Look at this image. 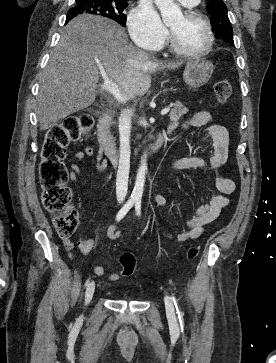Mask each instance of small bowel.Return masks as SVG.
Masks as SVG:
<instances>
[{"instance_id":"c3829d8e","label":"small bowel","mask_w":276,"mask_h":363,"mask_svg":"<svg viewBox=\"0 0 276 363\" xmlns=\"http://www.w3.org/2000/svg\"><path fill=\"white\" fill-rule=\"evenodd\" d=\"M178 123H172L168 128V131H172L177 128ZM188 126L201 127L206 126L211 139V148L209 155V163L199 157L184 158L175 162L172 165V170H186V169H201L206 170L207 168L212 170H219L222 168L228 160L229 150V134L227 129L217 123L213 122L212 114L208 111H200L195 113L182 127ZM95 158L96 167L98 170H102L105 167V160L101 153H95L93 148L85 147L80 151L73 154V158L77 161H83L86 158ZM81 174V168L78 164H70V179L77 180ZM215 186L218 193H214L210 196L207 203L200 205L194 212L193 216L187 220L185 228L177 231L175 234L163 232V235L177 243H183L195 240L199 238L207 225L216 221L221 213V210L228 206L230 203L229 195L235 191V182L227 177L217 175L215 177ZM153 201L156 205L163 209L168 208L167 199L157 194L153 197ZM117 225H112L108 229V236L111 239L119 237ZM94 240L87 239L80 236L77 240V246L83 253H88L94 247ZM64 245L67 250L71 251L74 248V244L69 240H64ZM70 258L73 255L70 254ZM93 272L97 276H106V278L115 282L119 280L120 274L116 272H106L102 266H94ZM123 274V273H122Z\"/></svg>"}]
</instances>
